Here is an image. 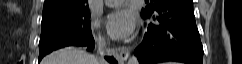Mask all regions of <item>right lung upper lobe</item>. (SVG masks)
I'll use <instances>...</instances> for the list:
<instances>
[{"instance_id": "right-lung-upper-lobe-1", "label": "right lung upper lobe", "mask_w": 242, "mask_h": 64, "mask_svg": "<svg viewBox=\"0 0 242 64\" xmlns=\"http://www.w3.org/2000/svg\"><path fill=\"white\" fill-rule=\"evenodd\" d=\"M88 0H45L43 13L88 8Z\"/></svg>"}]
</instances>
